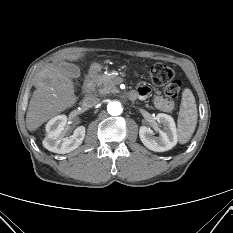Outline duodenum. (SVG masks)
Here are the masks:
<instances>
[{
	"label": "duodenum",
	"instance_id": "410a0bca",
	"mask_svg": "<svg viewBox=\"0 0 233 233\" xmlns=\"http://www.w3.org/2000/svg\"><path fill=\"white\" fill-rule=\"evenodd\" d=\"M98 73V69L96 67H93L90 71L89 74L87 75L84 85H83V90L84 92L89 95L91 93L92 87H93V81L95 76ZM129 98L130 99H136L137 98V94L136 92L132 91L129 93Z\"/></svg>",
	"mask_w": 233,
	"mask_h": 233
}]
</instances>
